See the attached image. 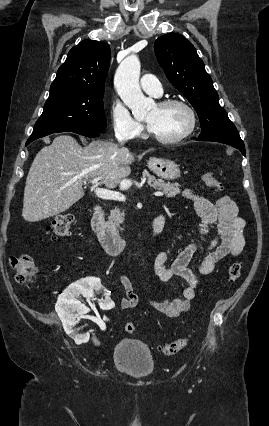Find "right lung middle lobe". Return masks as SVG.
Wrapping results in <instances>:
<instances>
[{
  "label": "right lung middle lobe",
  "mask_w": 269,
  "mask_h": 426,
  "mask_svg": "<svg viewBox=\"0 0 269 426\" xmlns=\"http://www.w3.org/2000/svg\"><path fill=\"white\" fill-rule=\"evenodd\" d=\"M105 128L103 95L61 91L50 93L28 140L82 129L103 132Z\"/></svg>",
  "instance_id": "dd1d6c3e"
}]
</instances>
